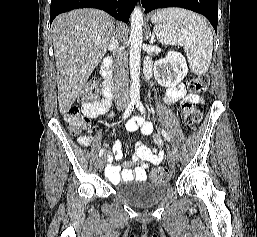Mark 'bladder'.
I'll list each match as a JSON object with an SVG mask.
<instances>
[{
    "label": "bladder",
    "mask_w": 257,
    "mask_h": 237,
    "mask_svg": "<svg viewBox=\"0 0 257 237\" xmlns=\"http://www.w3.org/2000/svg\"><path fill=\"white\" fill-rule=\"evenodd\" d=\"M137 186L118 190L117 194L128 204L137 209L151 208L160 203L171 189L169 181L130 180Z\"/></svg>",
    "instance_id": "obj_1"
}]
</instances>
